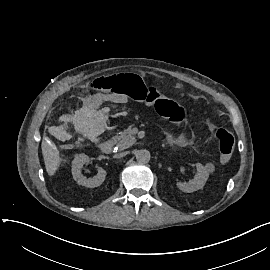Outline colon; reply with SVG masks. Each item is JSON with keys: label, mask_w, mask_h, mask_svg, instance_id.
Returning <instances> with one entry per match:
<instances>
[{"label": "colon", "mask_w": 270, "mask_h": 270, "mask_svg": "<svg viewBox=\"0 0 270 270\" xmlns=\"http://www.w3.org/2000/svg\"><path fill=\"white\" fill-rule=\"evenodd\" d=\"M90 89L95 93L124 94L135 101L154 106L157 112L178 124L187 118L186 108L175 100L168 99L153 86L147 85L140 77L127 72L119 75L95 76L89 82ZM214 141L219 151L218 160L227 164L235 148V138L226 128H219L214 133Z\"/></svg>", "instance_id": "5ec220e1"}]
</instances>
